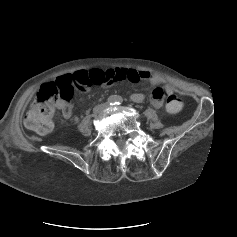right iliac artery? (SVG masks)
I'll list each match as a JSON object with an SVG mask.
<instances>
[{
  "instance_id": "obj_1",
  "label": "right iliac artery",
  "mask_w": 237,
  "mask_h": 237,
  "mask_svg": "<svg viewBox=\"0 0 237 237\" xmlns=\"http://www.w3.org/2000/svg\"><path fill=\"white\" fill-rule=\"evenodd\" d=\"M108 103H109L110 105H114V104H116V99H115L114 97H110V98L108 99Z\"/></svg>"
}]
</instances>
